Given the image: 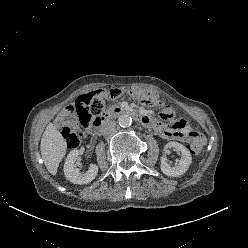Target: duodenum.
I'll return each instance as SVG.
<instances>
[{
    "label": "duodenum",
    "mask_w": 248,
    "mask_h": 248,
    "mask_svg": "<svg viewBox=\"0 0 248 248\" xmlns=\"http://www.w3.org/2000/svg\"><path fill=\"white\" fill-rule=\"evenodd\" d=\"M119 115H130L135 120L139 121L140 123H142L145 126L155 127V125H156V122L147 115H144L140 112H137V111H134L131 109H128L126 107H115V108L107 111L101 117H99L93 121V124H92L91 129H90L91 135L96 136L99 133L102 125L106 121L112 119L113 117L119 116Z\"/></svg>",
    "instance_id": "410a0bca"
}]
</instances>
